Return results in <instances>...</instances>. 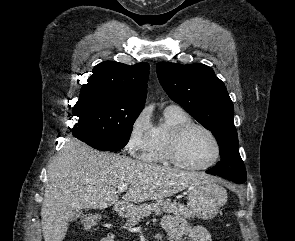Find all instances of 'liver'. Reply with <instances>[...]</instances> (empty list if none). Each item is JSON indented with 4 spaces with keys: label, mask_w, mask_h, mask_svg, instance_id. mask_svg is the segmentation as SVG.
<instances>
[{
    "label": "liver",
    "mask_w": 295,
    "mask_h": 241,
    "mask_svg": "<svg viewBox=\"0 0 295 241\" xmlns=\"http://www.w3.org/2000/svg\"><path fill=\"white\" fill-rule=\"evenodd\" d=\"M41 208L45 241H62L73 212L105 209L119 202L118 186L130 185L125 203L170 197L210 177L176 168L96 152L81 141L68 138L47 170Z\"/></svg>",
    "instance_id": "obj_1"
}]
</instances>
